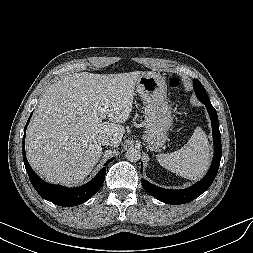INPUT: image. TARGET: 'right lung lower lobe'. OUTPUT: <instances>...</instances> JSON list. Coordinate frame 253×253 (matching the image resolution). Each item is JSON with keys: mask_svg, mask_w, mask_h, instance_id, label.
I'll list each match as a JSON object with an SVG mask.
<instances>
[{"mask_svg": "<svg viewBox=\"0 0 253 253\" xmlns=\"http://www.w3.org/2000/svg\"><path fill=\"white\" fill-rule=\"evenodd\" d=\"M31 117V115H30ZM30 121V118L27 121V124L24 128V136H23V161L25 164L26 171L28 173L29 179L36 189V191L46 200L59 205V206H76L84 203L89 198H91L102 186L105 178L106 168H102L100 172L96 175V177L81 187L77 188H66L58 185H51L43 180H41L36 173L31 169L26 156L24 149V139H25V131L26 127ZM113 158L110 160L112 161ZM108 161V163L110 162ZM106 163V164H108Z\"/></svg>", "mask_w": 253, "mask_h": 253, "instance_id": "obj_1", "label": "right lung lower lobe"}]
</instances>
